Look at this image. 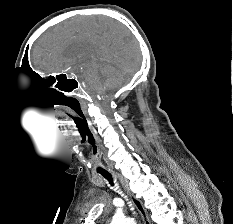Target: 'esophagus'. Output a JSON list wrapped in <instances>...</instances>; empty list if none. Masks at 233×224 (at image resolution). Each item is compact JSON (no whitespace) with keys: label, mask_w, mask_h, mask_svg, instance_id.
I'll return each mask as SVG.
<instances>
[{"label":"esophagus","mask_w":233,"mask_h":224,"mask_svg":"<svg viewBox=\"0 0 233 224\" xmlns=\"http://www.w3.org/2000/svg\"><path fill=\"white\" fill-rule=\"evenodd\" d=\"M114 177L116 179H119L124 191L126 192V194L129 196L130 200L132 201L133 205L136 207V209L138 210V212L141 215V218L143 220V224H151L150 223V219H149V215L148 212L146 211V209L143 206V203L140 201V199H138L130 190L127 182L120 176V174L118 173H113Z\"/></svg>","instance_id":"obj_1"}]
</instances>
